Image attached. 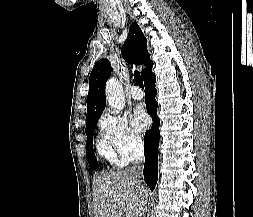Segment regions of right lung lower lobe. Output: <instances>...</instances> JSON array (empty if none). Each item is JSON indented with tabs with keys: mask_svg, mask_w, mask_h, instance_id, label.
<instances>
[{
	"mask_svg": "<svg viewBox=\"0 0 253 217\" xmlns=\"http://www.w3.org/2000/svg\"><path fill=\"white\" fill-rule=\"evenodd\" d=\"M155 81L156 76L153 73L148 74L144 78L146 109L153 119V124L151 129L146 131L144 137L145 164L143 175L151 190H154L158 178V145L160 139V120L156 112L158 103L155 100L157 94V90L154 87Z\"/></svg>",
	"mask_w": 253,
	"mask_h": 217,
	"instance_id": "obj_1",
	"label": "right lung lower lobe"
}]
</instances>
